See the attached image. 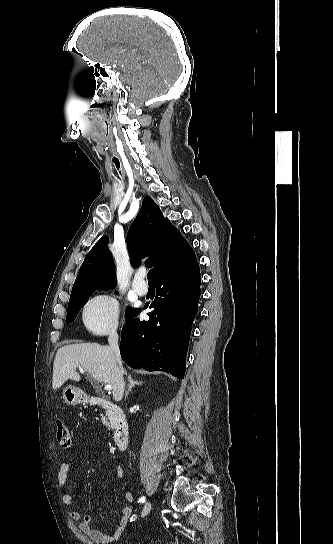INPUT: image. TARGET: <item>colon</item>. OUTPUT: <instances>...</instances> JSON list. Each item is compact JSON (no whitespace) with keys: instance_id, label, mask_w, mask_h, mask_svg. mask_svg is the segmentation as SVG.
I'll return each instance as SVG.
<instances>
[{"instance_id":"colon-1","label":"colon","mask_w":333,"mask_h":544,"mask_svg":"<svg viewBox=\"0 0 333 544\" xmlns=\"http://www.w3.org/2000/svg\"><path fill=\"white\" fill-rule=\"evenodd\" d=\"M57 441L58 444L65 448L70 449L73 447V436L68 426L63 421H57Z\"/></svg>"}]
</instances>
